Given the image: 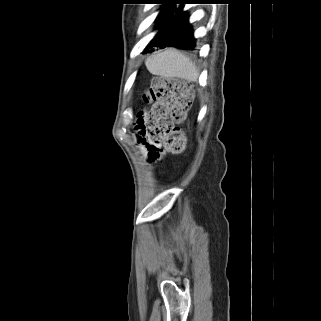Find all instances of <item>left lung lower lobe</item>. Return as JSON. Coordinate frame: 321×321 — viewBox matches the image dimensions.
I'll list each match as a JSON object with an SVG mask.
<instances>
[{
    "instance_id": "left-lung-lower-lobe-1",
    "label": "left lung lower lobe",
    "mask_w": 321,
    "mask_h": 321,
    "mask_svg": "<svg viewBox=\"0 0 321 321\" xmlns=\"http://www.w3.org/2000/svg\"><path fill=\"white\" fill-rule=\"evenodd\" d=\"M195 0H182L180 6L176 9L168 22L163 37L151 44L159 48L173 46L185 50H194L195 39L192 27L189 24V17L183 11V5L189 4Z\"/></svg>"
}]
</instances>
